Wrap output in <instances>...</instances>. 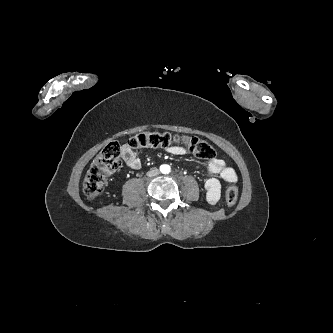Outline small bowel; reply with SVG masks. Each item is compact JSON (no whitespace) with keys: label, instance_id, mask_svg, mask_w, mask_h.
I'll return each mask as SVG.
<instances>
[{"label":"small bowel","instance_id":"1","mask_svg":"<svg viewBox=\"0 0 333 333\" xmlns=\"http://www.w3.org/2000/svg\"><path fill=\"white\" fill-rule=\"evenodd\" d=\"M167 152L175 156H183L186 154V149L181 146H170L167 148ZM122 158L126 166L131 169H140L142 166L141 159L138 157L137 153L128 148L126 145L122 147ZM205 170L210 175L218 176L225 182L234 183L237 181V174L233 168L226 165L225 161L219 158H214L210 160L206 166ZM206 190V201L210 205H215L218 203L221 197V184L217 178H209L205 182Z\"/></svg>","mask_w":333,"mask_h":333}]
</instances>
